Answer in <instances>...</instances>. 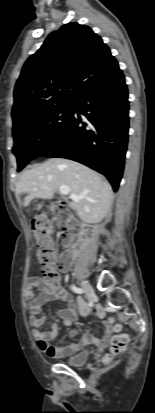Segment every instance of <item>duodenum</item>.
<instances>
[{
  "label": "duodenum",
  "instance_id": "duodenum-1",
  "mask_svg": "<svg viewBox=\"0 0 155 413\" xmlns=\"http://www.w3.org/2000/svg\"><path fill=\"white\" fill-rule=\"evenodd\" d=\"M90 235V232H86L85 234H84V236H89ZM77 249H78V246H74V247H72L71 249H70V252L72 253V254H75L76 252H77Z\"/></svg>",
  "mask_w": 155,
  "mask_h": 413
}]
</instances>
